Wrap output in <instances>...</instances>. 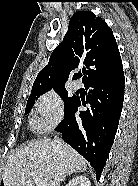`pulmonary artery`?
Segmentation results:
<instances>
[{"label": "pulmonary artery", "instance_id": "1", "mask_svg": "<svg viewBox=\"0 0 138 186\" xmlns=\"http://www.w3.org/2000/svg\"><path fill=\"white\" fill-rule=\"evenodd\" d=\"M72 86L75 90L79 89L81 84L78 80H74L73 83H72Z\"/></svg>", "mask_w": 138, "mask_h": 186}]
</instances>
